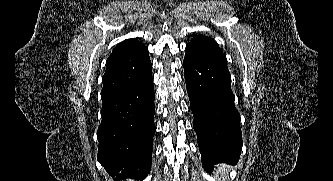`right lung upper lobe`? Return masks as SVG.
<instances>
[{"instance_id": "obj_1", "label": "right lung upper lobe", "mask_w": 333, "mask_h": 181, "mask_svg": "<svg viewBox=\"0 0 333 181\" xmlns=\"http://www.w3.org/2000/svg\"><path fill=\"white\" fill-rule=\"evenodd\" d=\"M147 48L136 39H127L113 50L106 61L101 97L113 94L151 73Z\"/></svg>"}]
</instances>
